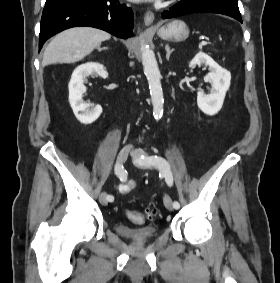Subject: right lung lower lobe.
Returning <instances> with one entry per match:
<instances>
[{"instance_id":"obj_1","label":"right lung lower lobe","mask_w":280,"mask_h":283,"mask_svg":"<svg viewBox=\"0 0 280 283\" xmlns=\"http://www.w3.org/2000/svg\"><path fill=\"white\" fill-rule=\"evenodd\" d=\"M80 26L99 28L125 39L133 35V12L118 0H56L45 4L39 49L53 35Z\"/></svg>"}]
</instances>
